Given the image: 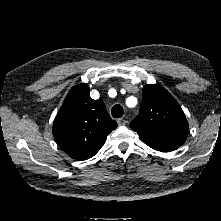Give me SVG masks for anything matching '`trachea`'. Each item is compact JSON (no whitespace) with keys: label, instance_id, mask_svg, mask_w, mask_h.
I'll list each match as a JSON object with an SVG mask.
<instances>
[{"label":"trachea","instance_id":"trachea-1","mask_svg":"<svg viewBox=\"0 0 221 221\" xmlns=\"http://www.w3.org/2000/svg\"><path fill=\"white\" fill-rule=\"evenodd\" d=\"M111 114L114 118H120L123 116V107L119 104H116L111 109Z\"/></svg>","mask_w":221,"mask_h":221}]
</instances>
